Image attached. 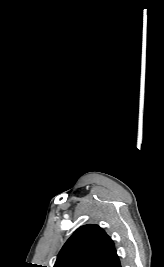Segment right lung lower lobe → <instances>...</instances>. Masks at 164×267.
<instances>
[{"mask_svg": "<svg viewBox=\"0 0 164 267\" xmlns=\"http://www.w3.org/2000/svg\"><path fill=\"white\" fill-rule=\"evenodd\" d=\"M100 267H121L117 254L112 256L109 260L103 263Z\"/></svg>", "mask_w": 164, "mask_h": 267, "instance_id": "obj_1", "label": "right lung lower lobe"}]
</instances>
